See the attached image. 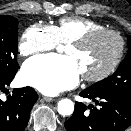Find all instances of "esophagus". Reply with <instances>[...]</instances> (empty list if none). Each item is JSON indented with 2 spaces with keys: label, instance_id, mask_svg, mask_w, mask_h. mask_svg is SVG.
I'll use <instances>...</instances> for the list:
<instances>
[{
  "label": "esophagus",
  "instance_id": "34e87169",
  "mask_svg": "<svg viewBox=\"0 0 131 131\" xmlns=\"http://www.w3.org/2000/svg\"><path fill=\"white\" fill-rule=\"evenodd\" d=\"M43 100L46 101V102H52V101H54L53 98L47 97V96H43Z\"/></svg>",
  "mask_w": 131,
  "mask_h": 131
}]
</instances>
